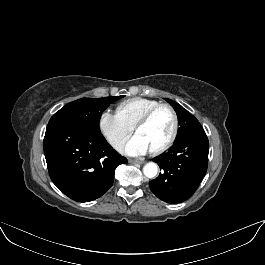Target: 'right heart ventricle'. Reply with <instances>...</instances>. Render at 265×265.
Masks as SVG:
<instances>
[{
	"label": "right heart ventricle",
	"mask_w": 265,
	"mask_h": 265,
	"mask_svg": "<svg viewBox=\"0 0 265 265\" xmlns=\"http://www.w3.org/2000/svg\"><path fill=\"white\" fill-rule=\"evenodd\" d=\"M161 104L160 102L143 97L127 99L116 106V114L130 127L149 109Z\"/></svg>",
	"instance_id": "obj_1"
}]
</instances>
